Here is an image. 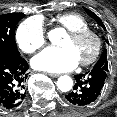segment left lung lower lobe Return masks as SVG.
Masks as SVG:
<instances>
[{
  "label": "left lung lower lobe",
  "mask_w": 117,
  "mask_h": 117,
  "mask_svg": "<svg viewBox=\"0 0 117 117\" xmlns=\"http://www.w3.org/2000/svg\"><path fill=\"white\" fill-rule=\"evenodd\" d=\"M107 75V71L93 68L85 74L75 76L73 91L65 96L67 102L75 106H86L95 102L105 86Z\"/></svg>",
  "instance_id": "1"
}]
</instances>
